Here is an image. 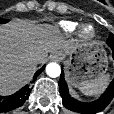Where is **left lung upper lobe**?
<instances>
[{
  "label": "left lung upper lobe",
  "instance_id": "obj_1",
  "mask_svg": "<svg viewBox=\"0 0 114 114\" xmlns=\"http://www.w3.org/2000/svg\"><path fill=\"white\" fill-rule=\"evenodd\" d=\"M112 42L114 43V35H113L112 33H110V34H109V38H108V40H107V43H108V44H111Z\"/></svg>",
  "mask_w": 114,
  "mask_h": 114
}]
</instances>
